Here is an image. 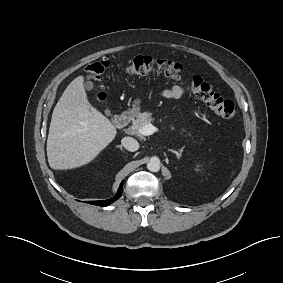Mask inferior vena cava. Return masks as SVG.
Masks as SVG:
<instances>
[{
	"instance_id": "inferior-vena-cava-1",
	"label": "inferior vena cava",
	"mask_w": 283,
	"mask_h": 283,
	"mask_svg": "<svg viewBox=\"0 0 283 283\" xmlns=\"http://www.w3.org/2000/svg\"><path fill=\"white\" fill-rule=\"evenodd\" d=\"M121 144L126 150L131 152L137 151L139 149V143L132 137H124L121 140Z\"/></svg>"
}]
</instances>
